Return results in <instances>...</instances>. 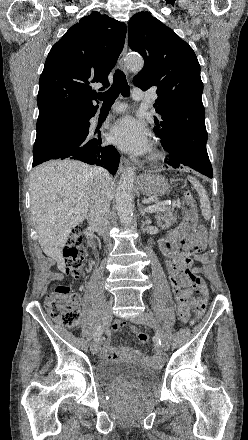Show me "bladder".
Returning <instances> with one entry per match:
<instances>
[{"label":"bladder","mask_w":248,"mask_h":440,"mask_svg":"<svg viewBox=\"0 0 248 440\" xmlns=\"http://www.w3.org/2000/svg\"><path fill=\"white\" fill-rule=\"evenodd\" d=\"M97 380L115 390L143 391L154 385L157 373L153 368L125 361L105 360L95 367Z\"/></svg>","instance_id":"1"}]
</instances>
